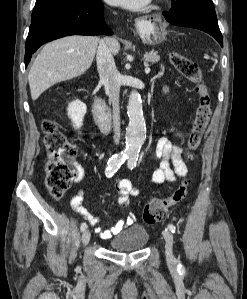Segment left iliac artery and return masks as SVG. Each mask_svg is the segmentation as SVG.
I'll return each mask as SVG.
<instances>
[{"label":"left iliac artery","mask_w":247,"mask_h":299,"mask_svg":"<svg viewBox=\"0 0 247 299\" xmlns=\"http://www.w3.org/2000/svg\"><path fill=\"white\" fill-rule=\"evenodd\" d=\"M138 160V156L136 157L135 155H130L128 157V168L133 169L136 166V162ZM168 229L172 232L175 233L176 232V227L173 224H169L168 225Z\"/></svg>","instance_id":"44dca946"}]
</instances>
